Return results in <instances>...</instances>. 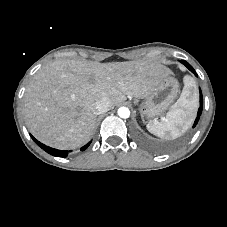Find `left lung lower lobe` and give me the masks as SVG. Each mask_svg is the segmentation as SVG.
Returning a JSON list of instances; mask_svg holds the SVG:
<instances>
[{
    "instance_id": "1",
    "label": "left lung lower lobe",
    "mask_w": 227,
    "mask_h": 227,
    "mask_svg": "<svg viewBox=\"0 0 227 227\" xmlns=\"http://www.w3.org/2000/svg\"><path fill=\"white\" fill-rule=\"evenodd\" d=\"M181 63L184 64L192 73H194L195 76H197L195 70L193 69V67L189 63H187L184 60H181ZM202 104H203V98H202V93H201V90H200V108L198 109L197 117H196L195 122L193 124V128L196 126V124L199 121L200 115L202 113Z\"/></svg>"
}]
</instances>
